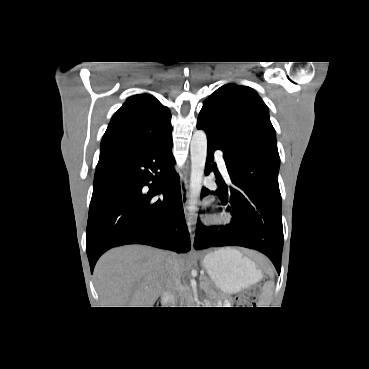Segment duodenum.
<instances>
[{"mask_svg": "<svg viewBox=\"0 0 369 369\" xmlns=\"http://www.w3.org/2000/svg\"><path fill=\"white\" fill-rule=\"evenodd\" d=\"M171 299H172V295L168 292H165L162 295V301L165 302V303H170Z\"/></svg>", "mask_w": 369, "mask_h": 369, "instance_id": "obj_1", "label": "duodenum"}]
</instances>
